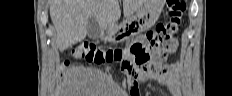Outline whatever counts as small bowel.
Here are the masks:
<instances>
[{"label":"small bowel","instance_id":"small-bowel-1","mask_svg":"<svg viewBox=\"0 0 232 96\" xmlns=\"http://www.w3.org/2000/svg\"><path fill=\"white\" fill-rule=\"evenodd\" d=\"M145 41H146V36L142 35V36L137 37L132 45L134 44L144 45ZM168 47L171 49V52L175 51L177 49V42L173 41L172 43L168 45ZM138 81L158 82L166 86L173 96L181 95V82H180V76H179V68L177 66L171 65V66L161 67L160 72L149 71V72L141 73L138 77ZM129 84L132 89V93H130L129 96H140V93H136V90H135V87L137 85V80L130 79Z\"/></svg>","mask_w":232,"mask_h":96}]
</instances>
